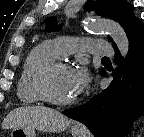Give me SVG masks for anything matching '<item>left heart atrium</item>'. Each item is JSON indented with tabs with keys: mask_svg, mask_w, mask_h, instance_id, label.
I'll list each match as a JSON object with an SVG mask.
<instances>
[{
	"mask_svg": "<svg viewBox=\"0 0 144 137\" xmlns=\"http://www.w3.org/2000/svg\"><path fill=\"white\" fill-rule=\"evenodd\" d=\"M91 75L88 69L78 68L72 71L71 88L74 95H80L89 88Z\"/></svg>",
	"mask_w": 144,
	"mask_h": 137,
	"instance_id": "39dd6f15",
	"label": "left heart atrium"
}]
</instances>
